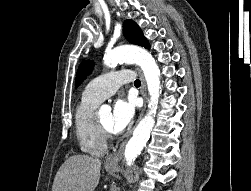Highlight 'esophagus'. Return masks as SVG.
<instances>
[{
    "label": "esophagus",
    "instance_id": "obj_1",
    "mask_svg": "<svg viewBox=\"0 0 251 191\" xmlns=\"http://www.w3.org/2000/svg\"><path fill=\"white\" fill-rule=\"evenodd\" d=\"M138 74L140 76V79H141V94L144 98V104H143V107L141 109V112H140V115H139V118H138V121L141 120V118L143 117L144 115V112H145V109H146V105H147V101H146V83H145V79H144V76L141 72V70L138 69ZM123 144L120 146V149L122 148ZM120 161V152L114 154V156H111L110 158H108L105 162V165L106 166H109V167H116L118 165V162Z\"/></svg>",
    "mask_w": 251,
    "mask_h": 191
}]
</instances>
